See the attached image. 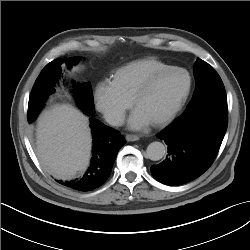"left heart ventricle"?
Masks as SVG:
<instances>
[{
  "label": "left heart ventricle",
  "instance_id": "obj_1",
  "mask_svg": "<svg viewBox=\"0 0 250 250\" xmlns=\"http://www.w3.org/2000/svg\"><path fill=\"white\" fill-rule=\"evenodd\" d=\"M184 72L173 71L157 80L153 88L142 97L136 108L150 121L155 122L165 116L178 102L187 87Z\"/></svg>",
  "mask_w": 250,
  "mask_h": 250
}]
</instances>
